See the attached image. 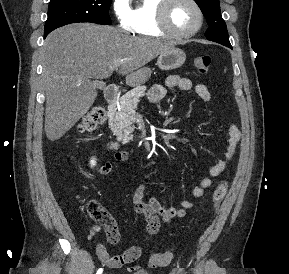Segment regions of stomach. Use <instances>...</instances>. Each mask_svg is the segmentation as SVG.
Returning a JSON list of instances; mask_svg holds the SVG:
<instances>
[{"mask_svg": "<svg viewBox=\"0 0 289 274\" xmlns=\"http://www.w3.org/2000/svg\"><path fill=\"white\" fill-rule=\"evenodd\" d=\"M186 60V54L179 48H172L159 55L157 64L162 70H171L181 67Z\"/></svg>", "mask_w": 289, "mask_h": 274, "instance_id": "1", "label": "stomach"}]
</instances>
